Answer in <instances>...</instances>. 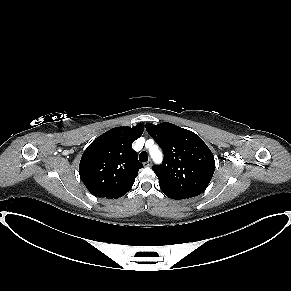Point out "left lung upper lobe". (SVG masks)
<instances>
[{"label": "left lung upper lobe", "instance_id": "obj_1", "mask_svg": "<svg viewBox=\"0 0 291 291\" xmlns=\"http://www.w3.org/2000/svg\"><path fill=\"white\" fill-rule=\"evenodd\" d=\"M146 130L164 152L163 163L152 167L159 186L185 197L201 194L215 171L214 156L204 141L168 122L147 123Z\"/></svg>", "mask_w": 291, "mask_h": 291}]
</instances>
